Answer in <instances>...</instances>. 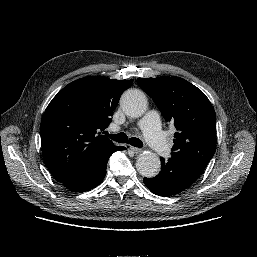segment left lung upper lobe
Listing matches in <instances>:
<instances>
[{"label": "left lung upper lobe", "instance_id": "5c2ea615", "mask_svg": "<svg viewBox=\"0 0 257 257\" xmlns=\"http://www.w3.org/2000/svg\"><path fill=\"white\" fill-rule=\"evenodd\" d=\"M137 83L177 129L172 157L204 171L216 149V115L206 95L179 77L138 78Z\"/></svg>", "mask_w": 257, "mask_h": 257}]
</instances>
